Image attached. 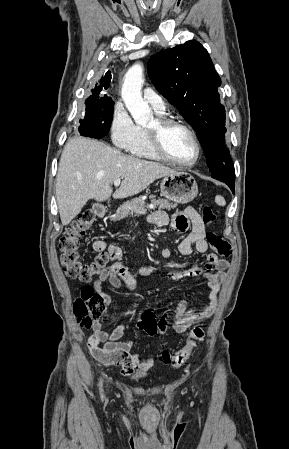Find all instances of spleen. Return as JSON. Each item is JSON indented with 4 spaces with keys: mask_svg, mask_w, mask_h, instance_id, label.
I'll list each match as a JSON object with an SVG mask.
<instances>
[{
    "mask_svg": "<svg viewBox=\"0 0 289 449\" xmlns=\"http://www.w3.org/2000/svg\"><path fill=\"white\" fill-rule=\"evenodd\" d=\"M215 202L219 205V206H225L226 202L224 200V198L222 196H217L215 198Z\"/></svg>",
    "mask_w": 289,
    "mask_h": 449,
    "instance_id": "3e777b00",
    "label": "spleen"
}]
</instances>
